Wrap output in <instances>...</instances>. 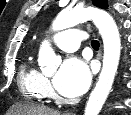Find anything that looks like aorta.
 <instances>
[{
    "mask_svg": "<svg viewBox=\"0 0 131 115\" xmlns=\"http://www.w3.org/2000/svg\"><path fill=\"white\" fill-rule=\"evenodd\" d=\"M87 20H92L97 26L104 44L102 70L85 108V115H98L111 90L119 64L121 42L115 21L109 13L98 8H75L60 12L52 29L63 30ZM38 62L44 74H52L57 68V57L47 40L40 46Z\"/></svg>",
    "mask_w": 131,
    "mask_h": 115,
    "instance_id": "1",
    "label": "aorta"
}]
</instances>
